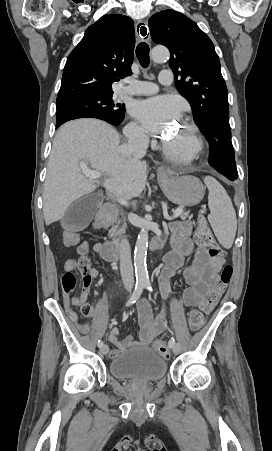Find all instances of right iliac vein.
Wrapping results in <instances>:
<instances>
[{"label": "right iliac vein", "mask_w": 272, "mask_h": 451, "mask_svg": "<svg viewBox=\"0 0 272 451\" xmlns=\"http://www.w3.org/2000/svg\"><path fill=\"white\" fill-rule=\"evenodd\" d=\"M108 350H109V348H108V346L107 345H103L102 347H100V353L102 354V355H106L107 353H108Z\"/></svg>", "instance_id": "63e3f726"}]
</instances>
